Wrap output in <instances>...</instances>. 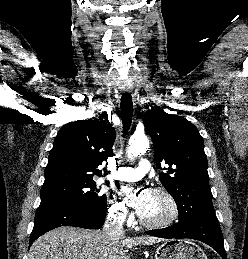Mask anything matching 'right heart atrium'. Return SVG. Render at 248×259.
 Returning <instances> with one entry per match:
<instances>
[{
	"instance_id": "right-heart-atrium-1",
	"label": "right heart atrium",
	"mask_w": 248,
	"mask_h": 259,
	"mask_svg": "<svg viewBox=\"0 0 248 259\" xmlns=\"http://www.w3.org/2000/svg\"><path fill=\"white\" fill-rule=\"evenodd\" d=\"M109 215L112 220L119 224L128 223L131 220V215L124 202L114 200L109 208Z\"/></svg>"
}]
</instances>
